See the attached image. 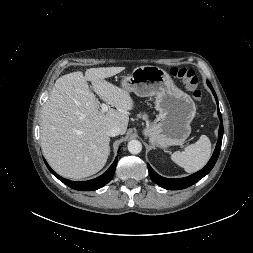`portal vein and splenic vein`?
<instances>
[{
  "label": "portal vein and splenic vein",
  "mask_w": 253,
  "mask_h": 253,
  "mask_svg": "<svg viewBox=\"0 0 253 253\" xmlns=\"http://www.w3.org/2000/svg\"><path fill=\"white\" fill-rule=\"evenodd\" d=\"M101 111H102L103 113H105V112L108 111V106H107V104H105V103H102V104H101Z\"/></svg>",
  "instance_id": "18ae733b"
}]
</instances>
